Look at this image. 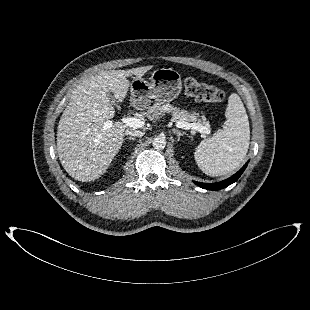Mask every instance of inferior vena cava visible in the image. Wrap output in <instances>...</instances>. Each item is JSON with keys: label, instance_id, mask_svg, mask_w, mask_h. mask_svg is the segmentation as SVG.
Returning a JSON list of instances; mask_svg holds the SVG:
<instances>
[{"label": "inferior vena cava", "instance_id": "inferior-vena-cava-1", "mask_svg": "<svg viewBox=\"0 0 310 310\" xmlns=\"http://www.w3.org/2000/svg\"><path fill=\"white\" fill-rule=\"evenodd\" d=\"M126 135H130V136H136V137H142L144 135V133L142 131L139 130H135V129H127L125 131Z\"/></svg>", "mask_w": 310, "mask_h": 310}]
</instances>
